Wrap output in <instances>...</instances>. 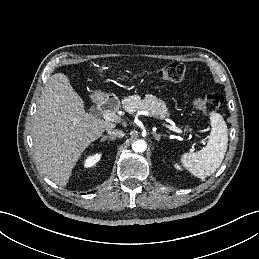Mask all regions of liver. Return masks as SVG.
<instances>
[{"instance_id": "6515ba94", "label": "liver", "mask_w": 259, "mask_h": 259, "mask_svg": "<svg viewBox=\"0 0 259 259\" xmlns=\"http://www.w3.org/2000/svg\"><path fill=\"white\" fill-rule=\"evenodd\" d=\"M116 124L85 112L82 98L63 73L45 85L33 119L35 160L41 171L65 186L84 150Z\"/></svg>"}]
</instances>
